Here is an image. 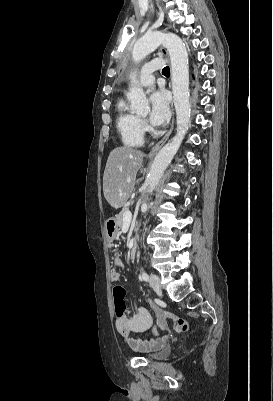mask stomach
Masks as SVG:
<instances>
[{"label":"stomach","instance_id":"obj_1","mask_svg":"<svg viewBox=\"0 0 273 401\" xmlns=\"http://www.w3.org/2000/svg\"><path fill=\"white\" fill-rule=\"evenodd\" d=\"M118 231L119 229L115 217H110V219H107V221H105V233L107 241H114V239H116Z\"/></svg>","mask_w":273,"mask_h":401}]
</instances>
